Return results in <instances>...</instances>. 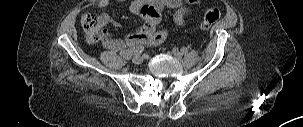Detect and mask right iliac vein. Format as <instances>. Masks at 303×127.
Segmentation results:
<instances>
[{
    "label": "right iliac vein",
    "mask_w": 303,
    "mask_h": 127,
    "mask_svg": "<svg viewBox=\"0 0 303 127\" xmlns=\"http://www.w3.org/2000/svg\"><path fill=\"white\" fill-rule=\"evenodd\" d=\"M132 62L136 65L142 64L143 58L140 55H135L132 59Z\"/></svg>",
    "instance_id": "right-iliac-vein-1"
}]
</instances>
